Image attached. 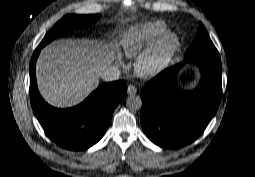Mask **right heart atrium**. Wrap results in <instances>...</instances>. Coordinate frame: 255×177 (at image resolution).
Listing matches in <instances>:
<instances>
[{
	"instance_id": "1",
	"label": "right heart atrium",
	"mask_w": 255,
	"mask_h": 177,
	"mask_svg": "<svg viewBox=\"0 0 255 177\" xmlns=\"http://www.w3.org/2000/svg\"><path fill=\"white\" fill-rule=\"evenodd\" d=\"M118 64H119V65H122V61H121L120 59L118 60Z\"/></svg>"
}]
</instances>
